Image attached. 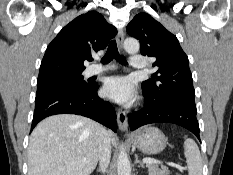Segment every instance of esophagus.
Returning a JSON list of instances; mask_svg holds the SVG:
<instances>
[{
  "mask_svg": "<svg viewBox=\"0 0 233 175\" xmlns=\"http://www.w3.org/2000/svg\"><path fill=\"white\" fill-rule=\"evenodd\" d=\"M123 41H124V32L122 29H120L117 33V44L120 49H122ZM117 122H118V127L121 131L124 132L127 130L128 127L127 114L122 109H119L117 111Z\"/></svg>",
  "mask_w": 233,
  "mask_h": 175,
  "instance_id": "34e87169",
  "label": "esophagus"
}]
</instances>
